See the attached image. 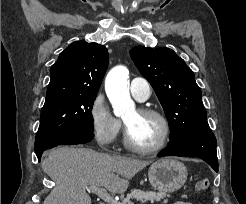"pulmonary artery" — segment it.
Masks as SVG:
<instances>
[{
  "mask_svg": "<svg viewBox=\"0 0 246 204\" xmlns=\"http://www.w3.org/2000/svg\"><path fill=\"white\" fill-rule=\"evenodd\" d=\"M130 92L138 101H145L151 94L149 82L144 78H134L130 83Z\"/></svg>",
  "mask_w": 246,
  "mask_h": 204,
  "instance_id": "e3ab8cb5",
  "label": "pulmonary artery"
}]
</instances>
